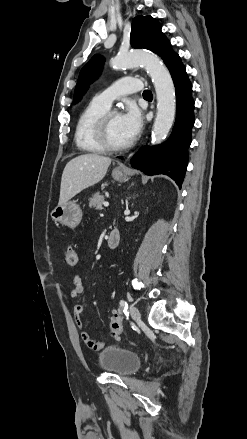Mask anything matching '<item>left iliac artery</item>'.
Here are the masks:
<instances>
[{
    "mask_svg": "<svg viewBox=\"0 0 247 439\" xmlns=\"http://www.w3.org/2000/svg\"><path fill=\"white\" fill-rule=\"evenodd\" d=\"M120 306L125 314H128V303L125 300L120 301Z\"/></svg>",
    "mask_w": 247,
    "mask_h": 439,
    "instance_id": "1",
    "label": "left iliac artery"
}]
</instances>
